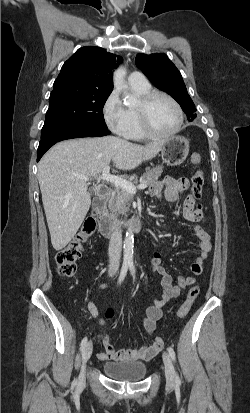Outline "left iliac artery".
I'll return each mask as SVG.
<instances>
[{"label":"left iliac artery","instance_id":"44dca946","mask_svg":"<svg viewBox=\"0 0 250 413\" xmlns=\"http://www.w3.org/2000/svg\"><path fill=\"white\" fill-rule=\"evenodd\" d=\"M130 271H131V274L133 275V277H135V269H134L133 264H130ZM168 352H169L172 360L175 361V352H174V349H173L172 347H168ZM176 382H180V379H179V376H178V375H176Z\"/></svg>","mask_w":250,"mask_h":413}]
</instances>
